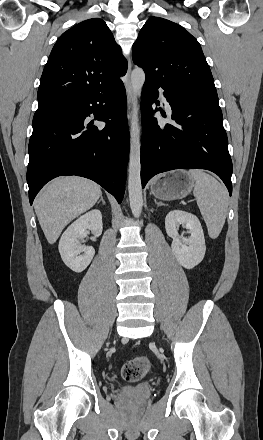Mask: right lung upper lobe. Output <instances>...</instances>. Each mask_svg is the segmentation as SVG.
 <instances>
[{
	"label": "right lung upper lobe",
	"mask_w": 263,
	"mask_h": 440,
	"mask_svg": "<svg viewBox=\"0 0 263 440\" xmlns=\"http://www.w3.org/2000/svg\"><path fill=\"white\" fill-rule=\"evenodd\" d=\"M127 71V61L102 19L85 20L54 45L38 89V107L110 87Z\"/></svg>",
	"instance_id": "cb5924a9"
}]
</instances>
